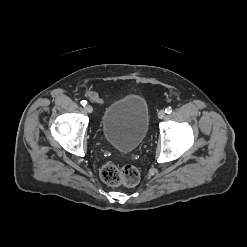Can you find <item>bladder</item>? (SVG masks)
Instances as JSON below:
<instances>
[{
	"label": "bladder",
	"instance_id": "bladder-1",
	"mask_svg": "<svg viewBox=\"0 0 247 247\" xmlns=\"http://www.w3.org/2000/svg\"><path fill=\"white\" fill-rule=\"evenodd\" d=\"M149 128L146 100L135 94L111 103L103 112L101 130L105 140L117 150L129 153L145 139Z\"/></svg>",
	"mask_w": 247,
	"mask_h": 247
}]
</instances>
